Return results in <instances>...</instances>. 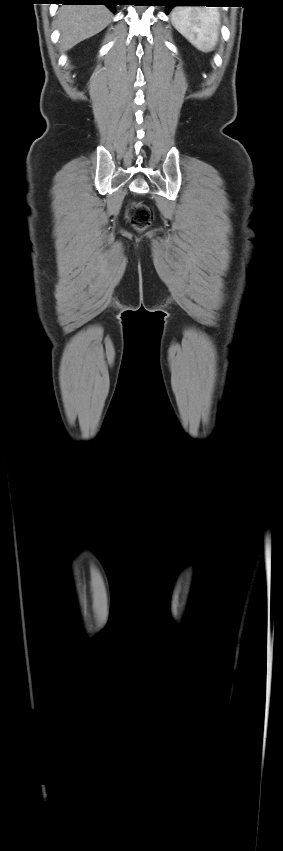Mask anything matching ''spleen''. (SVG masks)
I'll return each instance as SVG.
<instances>
[{
	"mask_svg": "<svg viewBox=\"0 0 283 851\" xmlns=\"http://www.w3.org/2000/svg\"><path fill=\"white\" fill-rule=\"evenodd\" d=\"M174 27L195 48L208 53L218 41L220 14L215 8L176 7L172 11Z\"/></svg>",
	"mask_w": 283,
	"mask_h": 851,
	"instance_id": "3e777b00",
	"label": "spleen"
}]
</instances>
